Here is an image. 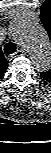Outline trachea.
Masks as SVG:
<instances>
[{"mask_svg": "<svg viewBox=\"0 0 51 153\" xmlns=\"http://www.w3.org/2000/svg\"><path fill=\"white\" fill-rule=\"evenodd\" d=\"M16 44L13 42L6 43L4 46V52L8 55H11L16 52Z\"/></svg>", "mask_w": 51, "mask_h": 153, "instance_id": "1", "label": "trachea"}]
</instances>
